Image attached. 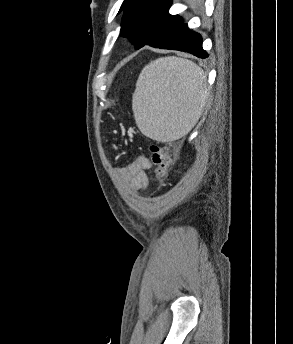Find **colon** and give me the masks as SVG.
<instances>
[{"label":"colon","instance_id":"5ec220e1","mask_svg":"<svg viewBox=\"0 0 293 344\" xmlns=\"http://www.w3.org/2000/svg\"><path fill=\"white\" fill-rule=\"evenodd\" d=\"M151 161L154 166L155 178L164 180L169 173L172 163L171 151L168 145L153 144L150 147Z\"/></svg>","mask_w":293,"mask_h":344}]
</instances>
